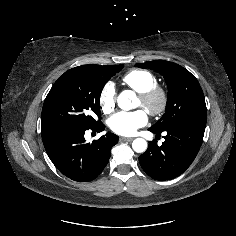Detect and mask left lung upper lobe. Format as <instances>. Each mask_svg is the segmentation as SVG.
Returning <instances> with one entry per match:
<instances>
[{
    "label": "left lung upper lobe",
    "mask_w": 236,
    "mask_h": 236,
    "mask_svg": "<svg viewBox=\"0 0 236 236\" xmlns=\"http://www.w3.org/2000/svg\"><path fill=\"white\" fill-rule=\"evenodd\" d=\"M135 66L159 72L168 86L166 112L149 129L161 132L182 120L207 116L203 91L197 79L188 70L164 60H155Z\"/></svg>",
    "instance_id": "left-lung-upper-lobe-1"
}]
</instances>
